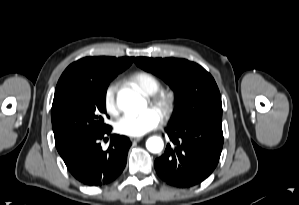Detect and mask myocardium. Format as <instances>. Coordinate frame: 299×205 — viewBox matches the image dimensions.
<instances>
[{
    "mask_svg": "<svg viewBox=\"0 0 299 205\" xmlns=\"http://www.w3.org/2000/svg\"><path fill=\"white\" fill-rule=\"evenodd\" d=\"M148 100L163 120L169 119L175 110L176 96L171 90L157 91L151 94Z\"/></svg>",
    "mask_w": 299,
    "mask_h": 205,
    "instance_id": "myocardium-1",
    "label": "myocardium"
}]
</instances>
